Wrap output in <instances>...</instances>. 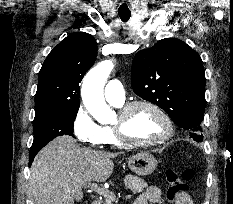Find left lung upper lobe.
<instances>
[{"label": "left lung upper lobe", "instance_id": "1", "mask_svg": "<svg viewBox=\"0 0 233 204\" xmlns=\"http://www.w3.org/2000/svg\"><path fill=\"white\" fill-rule=\"evenodd\" d=\"M205 81L200 55L179 39H162L132 62L133 91L162 108L198 142L203 140Z\"/></svg>", "mask_w": 233, "mask_h": 204}]
</instances>
